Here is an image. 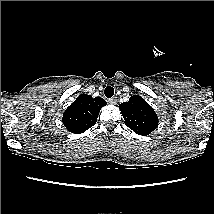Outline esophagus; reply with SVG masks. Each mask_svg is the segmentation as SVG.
<instances>
[{"label":"esophagus","instance_id":"1","mask_svg":"<svg viewBox=\"0 0 214 214\" xmlns=\"http://www.w3.org/2000/svg\"><path fill=\"white\" fill-rule=\"evenodd\" d=\"M108 103L115 105V104H117V99L110 98V99H108Z\"/></svg>","mask_w":214,"mask_h":214}]
</instances>
